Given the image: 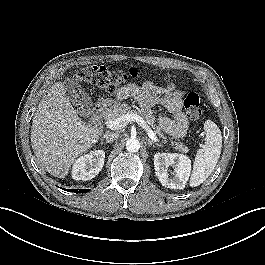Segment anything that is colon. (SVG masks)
Listing matches in <instances>:
<instances>
[{
    "label": "colon",
    "instance_id": "5ec220e1",
    "mask_svg": "<svg viewBox=\"0 0 265 265\" xmlns=\"http://www.w3.org/2000/svg\"><path fill=\"white\" fill-rule=\"evenodd\" d=\"M130 76L135 78L137 74L130 73ZM75 78L81 83L92 84L105 89L109 93H114L123 87L129 76L116 73L105 66L93 65L78 69ZM184 105L188 118L192 122H199L203 115L199 95L190 92L185 98Z\"/></svg>",
    "mask_w": 265,
    "mask_h": 265
}]
</instances>
